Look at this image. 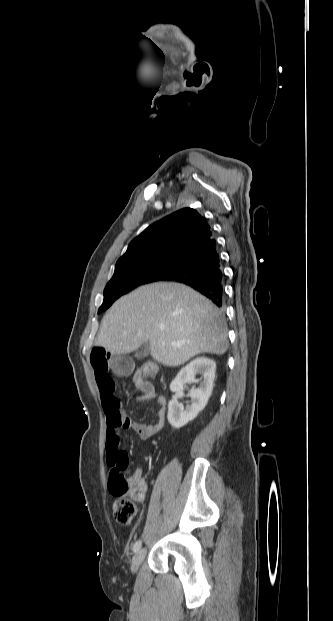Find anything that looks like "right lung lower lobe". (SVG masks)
Returning a JSON list of instances; mask_svg holds the SVG:
<instances>
[{"instance_id":"1","label":"right lung lower lobe","mask_w":333,"mask_h":621,"mask_svg":"<svg viewBox=\"0 0 333 621\" xmlns=\"http://www.w3.org/2000/svg\"><path fill=\"white\" fill-rule=\"evenodd\" d=\"M163 281L184 283L213 301L224 304V274L215 239L190 254L182 264Z\"/></svg>"}]
</instances>
